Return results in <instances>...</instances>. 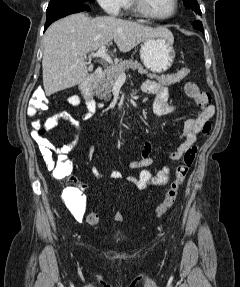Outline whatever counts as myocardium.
I'll return each mask as SVG.
<instances>
[{"label": "myocardium", "mask_w": 240, "mask_h": 287, "mask_svg": "<svg viewBox=\"0 0 240 287\" xmlns=\"http://www.w3.org/2000/svg\"><path fill=\"white\" fill-rule=\"evenodd\" d=\"M173 8L172 11L165 16H157L151 13L145 6L144 0H133L135 10L142 16L154 20V21H167L172 19L178 12L179 2L178 0H172Z\"/></svg>", "instance_id": "obj_1"}]
</instances>
